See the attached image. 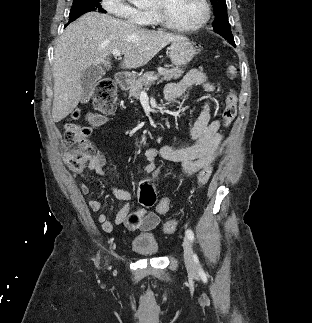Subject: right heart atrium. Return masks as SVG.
<instances>
[{
	"mask_svg": "<svg viewBox=\"0 0 312 323\" xmlns=\"http://www.w3.org/2000/svg\"><path fill=\"white\" fill-rule=\"evenodd\" d=\"M104 12L122 17L123 22H141L142 11L129 0H103Z\"/></svg>",
	"mask_w": 312,
	"mask_h": 323,
	"instance_id": "1",
	"label": "right heart atrium"
}]
</instances>
